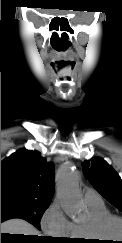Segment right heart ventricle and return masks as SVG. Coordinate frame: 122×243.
Instances as JSON below:
<instances>
[{"mask_svg": "<svg viewBox=\"0 0 122 243\" xmlns=\"http://www.w3.org/2000/svg\"><path fill=\"white\" fill-rule=\"evenodd\" d=\"M86 205L90 213L89 221L110 214L109 210L107 209V207L102 201L94 202V203H86ZM88 222L72 223L70 236L75 240L95 239L90 235L88 229Z\"/></svg>", "mask_w": 122, "mask_h": 243, "instance_id": "1", "label": "right heart ventricle"}]
</instances>
